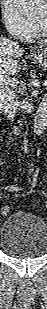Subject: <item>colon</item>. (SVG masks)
<instances>
[{"label": "colon", "mask_w": 47, "mask_h": 309, "mask_svg": "<svg viewBox=\"0 0 47 309\" xmlns=\"http://www.w3.org/2000/svg\"><path fill=\"white\" fill-rule=\"evenodd\" d=\"M1 213H2L3 215H8V214L10 213V208L7 207V206L2 207V208H1Z\"/></svg>", "instance_id": "1"}]
</instances>
